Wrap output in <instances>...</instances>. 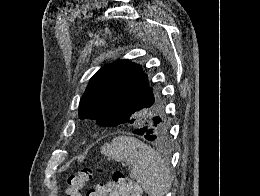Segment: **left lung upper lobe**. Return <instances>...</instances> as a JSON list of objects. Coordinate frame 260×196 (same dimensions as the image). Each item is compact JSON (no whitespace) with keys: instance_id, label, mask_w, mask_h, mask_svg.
<instances>
[{"instance_id":"5c2ea615","label":"left lung upper lobe","mask_w":260,"mask_h":196,"mask_svg":"<svg viewBox=\"0 0 260 196\" xmlns=\"http://www.w3.org/2000/svg\"><path fill=\"white\" fill-rule=\"evenodd\" d=\"M111 106L134 108L132 117L123 123L131 130L150 124L152 141L165 143L169 140L170 122L162 96L149 85L140 65L120 60L101 68L91 78L80 100L79 116L97 121Z\"/></svg>"}]
</instances>
